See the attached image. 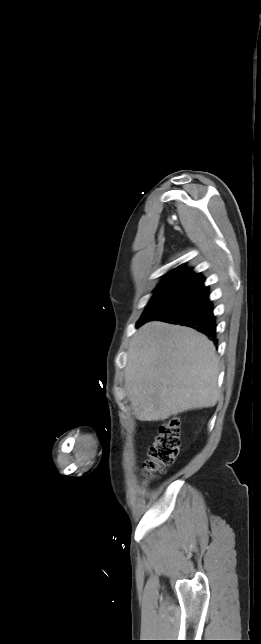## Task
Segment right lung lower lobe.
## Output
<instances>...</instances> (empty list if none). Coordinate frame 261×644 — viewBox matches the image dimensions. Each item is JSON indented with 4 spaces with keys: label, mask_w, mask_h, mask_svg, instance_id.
Returning <instances> with one entry per match:
<instances>
[{
    "label": "right lung lower lobe",
    "mask_w": 261,
    "mask_h": 644,
    "mask_svg": "<svg viewBox=\"0 0 261 644\" xmlns=\"http://www.w3.org/2000/svg\"><path fill=\"white\" fill-rule=\"evenodd\" d=\"M155 320L192 327L217 343L212 303L209 300L208 287L204 285L191 300Z\"/></svg>",
    "instance_id": "98d812e1"
}]
</instances>
